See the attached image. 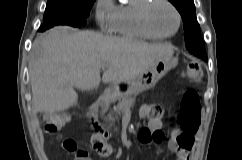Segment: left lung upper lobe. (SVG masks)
Returning a JSON list of instances; mask_svg holds the SVG:
<instances>
[{
    "label": "left lung upper lobe",
    "instance_id": "left-lung-upper-lobe-1",
    "mask_svg": "<svg viewBox=\"0 0 242 160\" xmlns=\"http://www.w3.org/2000/svg\"><path fill=\"white\" fill-rule=\"evenodd\" d=\"M181 14L184 23L185 42L188 51L207 61L205 46L197 22L193 0H169Z\"/></svg>",
    "mask_w": 242,
    "mask_h": 160
}]
</instances>
